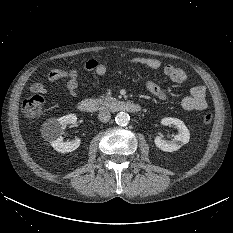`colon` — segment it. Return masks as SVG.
Instances as JSON below:
<instances>
[{"label": "colon", "mask_w": 233, "mask_h": 233, "mask_svg": "<svg viewBox=\"0 0 233 233\" xmlns=\"http://www.w3.org/2000/svg\"><path fill=\"white\" fill-rule=\"evenodd\" d=\"M44 99L41 95H33L25 99L22 103V112L28 118H36L42 114ZM213 120L211 113H206L203 116V122L210 124Z\"/></svg>", "instance_id": "colon-1"}]
</instances>
